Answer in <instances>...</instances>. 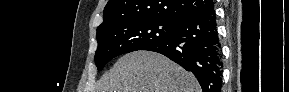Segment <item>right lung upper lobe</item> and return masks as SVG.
<instances>
[{
    "label": "right lung upper lobe",
    "mask_w": 289,
    "mask_h": 92,
    "mask_svg": "<svg viewBox=\"0 0 289 92\" xmlns=\"http://www.w3.org/2000/svg\"><path fill=\"white\" fill-rule=\"evenodd\" d=\"M212 7V0H109L104 8L103 23L97 31L121 21L140 18L178 22Z\"/></svg>",
    "instance_id": "1"
}]
</instances>
